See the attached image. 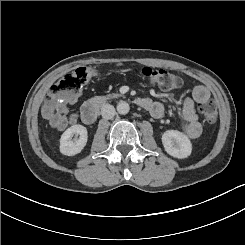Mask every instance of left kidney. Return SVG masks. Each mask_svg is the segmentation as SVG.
Listing matches in <instances>:
<instances>
[{"instance_id":"5707ae66","label":"left kidney","mask_w":245,"mask_h":245,"mask_svg":"<svg viewBox=\"0 0 245 245\" xmlns=\"http://www.w3.org/2000/svg\"><path fill=\"white\" fill-rule=\"evenodd\" d=\"M162 144L166 153L177 159L191 156L192 143L187 134L178 130H167L162 135Z\"/></svg>"}]
</instances>
